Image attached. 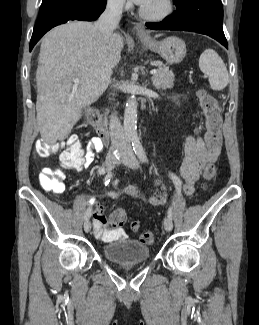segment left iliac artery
<instances>
[{
  "label": "left iliac artery",
  "mask_w": 259,
  "mask_h": 325,
  "mask_svg": "<svg viewBox=\"0 0 259 325\" xmlns=\"http://www.w3.org/2000/svg\"><path fill=\"white\" fill-rule=\"evenodd\" d=\"M133 145V150L135 152V154L138 156V158L142 161V162H148V158L146 156V152L142 146V144L137 141L134 140L132 142ZM170 178L172 179L173 183L175 184V187L177 189V191L179 192L181 189V181L180 179L173 173H169ZM168 216L170 218H172V207L169 208L168 210Z\"/></svg>",
  "instance_id": "44dca946"
}]
</instances>
